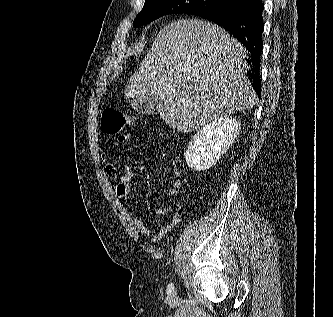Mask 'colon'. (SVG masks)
Returning a JSON list of instances; mask_svg holds the SVG:
<instances>
[{
  "label": "colon",
  "instance_id": "obj_1",
  "mask_svg": "<svg viewBox=\"0 0 333 317\" xmlns=\"http://www.w3.org/2000/svg\"><path fill=\"white\" fill-rule=\"evenodd\" d=\"M134 123V118L124 110L111 106L102 113L101 130L109 136L119 135Z\"/></svg>",
  "mask_w": 333,
  "mask_h": 317
}]
</instances>
